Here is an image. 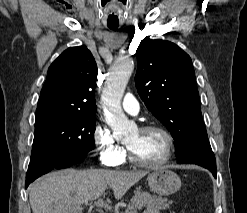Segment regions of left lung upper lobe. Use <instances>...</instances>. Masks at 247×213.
Listing matches in <instances>:
<instances>
[{
	"mask_svg": "<svg viewBox=\"0 0 247 213\" xmlns=\"http://www.w3.org/2000/svg\"><path fill=\"white\" fill-rule=\"evenodd\" d=\"M137 62L138 93L171 132L178 157L196 137L207 136L191 58L172 42L146 38Z\"/></svg>",
	"mask_w": 247,
	"mask_h": 213,
	"instance_id": "1",
	"label": "left lung upper lobe"
}]
</instances>
